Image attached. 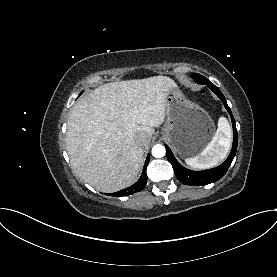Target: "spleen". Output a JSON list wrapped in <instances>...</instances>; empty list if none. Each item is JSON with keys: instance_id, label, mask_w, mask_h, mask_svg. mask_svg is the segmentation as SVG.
Listing matches in <instances>:
<instances>
[{"instance_id": "3e777b00", "label": "spleen", "mask_w": 277, "mask_h": 277, "mask_svg": "<svg viewBox=\"0 0 277 277\" xmlns=\"http://www.w3.org/2000/svg\"><path fill=\"white\" fill-rule=\"evenodd\" d=\"M232 130L225 117L218 120V128L211 142L197 156L186 158L185 163L194 169H207L218 165L227 156Z\"/></svg>"}]
</instances>
